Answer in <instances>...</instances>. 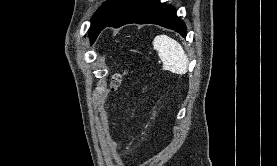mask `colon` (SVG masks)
<instances>
[{
  "label": "colon",
  "instance_id": "colon-1",
  "mask_svg": "<svg viewBox=\"0 0 277 166\" xmlns=\"http://www.w3.org/2000/svg\"><path fill=\"white\" fill-rule=\"evenodd\" d=\"M122 77H123V75L121 73H116L112 76L111 87L113 89H116L120 85V83L122 81Z\"/></svg>",
  "mask_w": 277,
  "mask_h": 166
}]
</instances>
